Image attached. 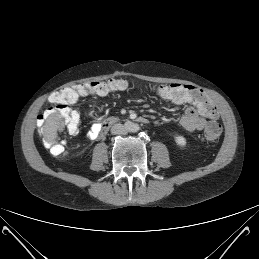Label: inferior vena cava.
<instances>
[{"label": "inferior vena cava", "instance_id": "602c4592", "mask_svg": "<svg viewBox=\"0 0 259 259\" xmlns=\"http://www.w3.org/2000/svg\"><path fill=\"white\" fill-rule=\"evenodd\" d=\"M111 133L114 135H125L127 130L122 124L118 123L111 127Z\"/></svg>", "mask_w": 259, "mask_h": 259}]
</instances>
